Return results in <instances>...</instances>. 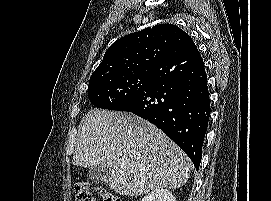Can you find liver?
I'll return each instance as SVG.
<instances>
[{
  "mask_svg": "<svg viewBox=\"0 0 271 201\" xmlns=\"http://www.w3.org/2000/svg\"><path fill=\"white\" fill-rule=\"evenodd\" d=\"M72 163L85 168L106 163L110 188L126 196L179 188L191 167L187 155L155 125L132 113L99 109L83 117Z\"/></svg>",
  "mask_w": 271,
  "mask_h": 201,
  "instance_id": "liver-1",
  "label": "liver"
}]
</instances>
